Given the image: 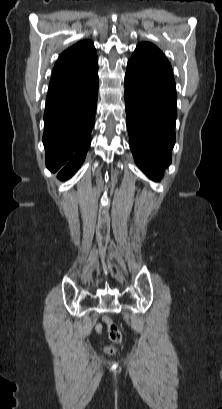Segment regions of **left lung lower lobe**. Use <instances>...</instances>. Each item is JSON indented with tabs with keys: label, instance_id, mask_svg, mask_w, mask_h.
Instances as JSON below:
<instances>
[{
	"label": "left lung lower lobe",
	"instance_id": "obj_1",
	"mask_svg": "<svg viewBox=\"0 0 222 409\" xmlns=\"http://www.w3.org/2000/svg\"><path fill=\"white\" fill-rule=\"evenodd\" d=\"M124 94L129 145L135 162L157 181L171 163L176 140V91L126 72Z\"/></svg>",
	"mask_w": 222,
	"mask_h": 409
}]
</instances>
